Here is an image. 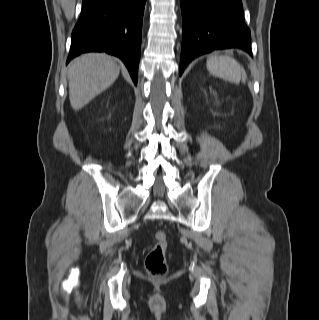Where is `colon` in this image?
I'll return each mask as SVG.
<instances>
[{
  "mask_svg": "<svg viewBox=\"0 0 319 320\" xmlns=\"http://www.w3.org/2000/svg\"><path fill=\"white\" fill-rule=\"evenodd\" d=\"M156 243L145 259V268L151 276L161 277L168 271L165 255L168 248V238L164 231L155 232Z\"/></svg>",
  "mask_w": 319,
  "mask_h": 320,
  "instance_id": "colon-1",
  "label": "colon"
}]
</instances>
